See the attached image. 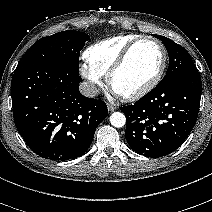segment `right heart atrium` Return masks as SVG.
<instances>
[{
  "label": "right heart atrium",
  "instance_id": "d8ad5b80",
  "mask_svg": "<svg viewBox=\"0 0 212 212\" xmlns=\"http://www.w3.org/2000/svg\"><path fill=\"white\" fill-rule=\"evenodd\" d=\"M80 74L85 80L87 92L93 94L96 91V87L102 83L103 75L87 62L80 65Z\"/></svg>",
  "mask_w": 212,
  "mask_h": 212
}]
</instances>
